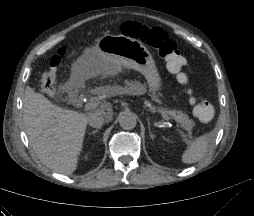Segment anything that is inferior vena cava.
I'll list each match as a JSON object with an SVG mask.
<instances>
[{
    "label": "inferior vena cava",
    "instance_id": "1",
    "mask_svg": "<svg viewBox=\"0 0 254 216\" xmlns=\"http://www.w3.org/2000/svg\"><path fill=\"white\" fill-rule=\"evenodd\" d=\"M107 121L108 120L100 113H95L88 119L89 125L94 128H101L102 125Z\"/></svg>",
    "mask_w": 254,
    "mask_h": 216
}]
</instances>
